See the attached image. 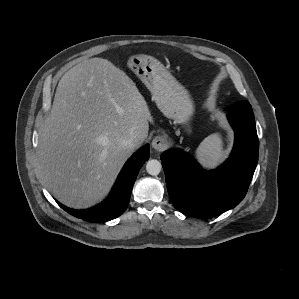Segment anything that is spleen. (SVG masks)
<instances>
[{
  "instance_id": "obj_1",
  "label": "spleen",
  "mask_w": 299,
  "mask_h": 299,
  "mask_svg": "<svg viewBox=\"0 0 299 299\" xmlns=\"http://www.w3.org/2000/svg\"><path fill=\"white\" fill-rule=\"evenodd\" d=\"M196 153L202 160L210 162L220 160L224 155V151L222 150V142L219 135L213 134L205 138Z\"/></svg>"
}]
</instances>
